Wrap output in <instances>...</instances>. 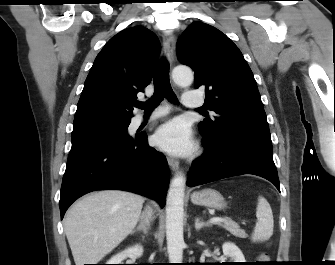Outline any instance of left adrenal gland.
<instances>
[{
  "mask_svg": "<svg viewBox=\"0 0 335 265\" xmlns=\"http://www.w3.org/2000/svg\"><path fill=\"white\" fill-rule=\"evenodd\" d=\"M205 226H211V224L209 222L200 221V219L198 217L195 218V229L196 230H200L201 228H203Z\"/></svg>",
  "mask_w": 335,
  "mask_h": 265,
  "instance_id": "obj_1",
  "label": "left adrenal gland"
}]
</instances>
